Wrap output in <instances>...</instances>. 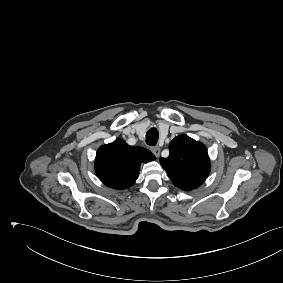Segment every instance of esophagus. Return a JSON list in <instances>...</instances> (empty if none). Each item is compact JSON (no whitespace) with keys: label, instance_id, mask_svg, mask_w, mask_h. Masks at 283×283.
<instances>
[{"label":"esophagus","instance_id":"esophagus-1","mask_svg":"<svg viewBox=\"0 0 283 283\" xmlns=\"http://www.w3.org/2000/svg\"><path fill=\"white\" fill-rule=\"evenodd\" d=\"M151 151L157 158L160 156L161 149L158 146L152 147Z\"/></svg>","mask_w":283,"mask_h":283}]
</instances>
